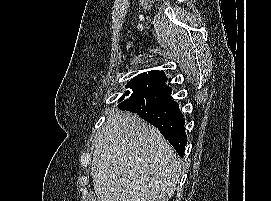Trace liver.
<instances>
[{
    "mask_svg": "<svg viewBox=\"0 0 271 201\" xmlns=\"http://www.w3.org/2000/svg\"><path fill=\"white\" fill-rule=\"evenodd\" d=\"M180 174L181 162L158 129L137 115H108L91 164L98 201H167Z\"/></svg>",
    "mask_w": 271,
    "mask_h": 201,
    "instance_id": "6515ba94",
    "label": "liver"
}]
</instances>
